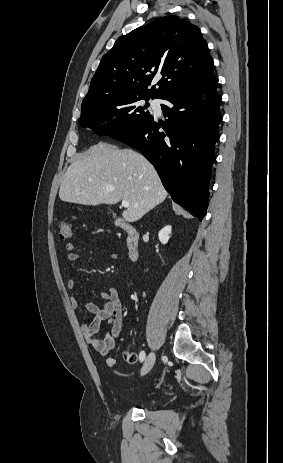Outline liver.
<instances>
[{
    "label": "liver",
    "instance_id": "6515ba94",
    "mask_svg": "<svg viewBox=\"0 0 283 463\" xmlns=\"http://www.w3.org/2000/svg\"><path fill=\"white\" fill-rule=\"evenodd\" d=\"M59 197L64 202L98 205L126 200L122 216L141 219L167 197L152 164L140 153L107 143L92 146L62 177Z\"/></svg>",
    "mask_w": 283,
    "mask_h": 463
}]
</instances>
